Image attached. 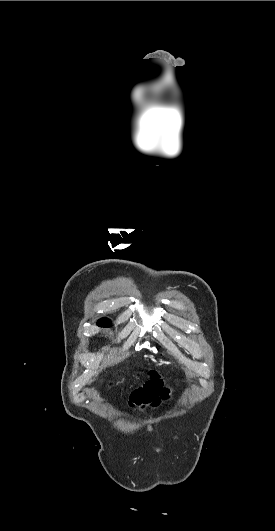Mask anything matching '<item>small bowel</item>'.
Masks as SVG:
<instances>
[{"label": "small bowel", "instance_id": "c3829d8e", "mask_svg": "<svg viewBox=\"0 0 275 531\" xmlns=\"http://www.w3.org/2000/svg\"><path fill=\"white\" fill-rule=\"evenodd\" d=\"M147 370V367H144ZM146 374L150 377L160 374V371H156L154 368H150L146 371ZM154 381L149 382L144 387L137 390L133 396L132 404L142 409L146 406H157L161 399H168L170 394H174L178 389L174 383H161L154 378ZM111 388V385H108Z\"/></svg>", "mask_w": 275, "mask_h": 531}]
</instances>
